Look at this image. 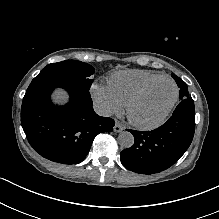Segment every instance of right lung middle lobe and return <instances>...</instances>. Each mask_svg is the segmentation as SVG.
Returning <instances> with one entry per match:
<instances>
[{"mask_svg":"<svg viewBox=\"0 0 219 219\" xmlns=\"http://www.w3.org/2000/svg\"><path fill=\"white\" fill-rule=\"evenodd\" d=\"M94 72V68L87 63L77 60H66L47 65L42 69L37 78L47 76L71 79L80 82L84 88L90 89L93 81L90 79V76Z\"/></svg>","mask_w":219,"mask_h":219,"instance_id":"right-lung-middle-lobe-1","label":"right lung middle lobe"}]
</instances>
